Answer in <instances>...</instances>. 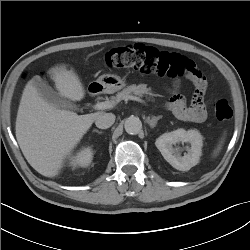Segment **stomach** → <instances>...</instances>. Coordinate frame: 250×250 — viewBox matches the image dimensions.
I'll return each mask as SVG.
<instances>
[{
	"label": "stomach",
	"instance_id": "0dacf381",
	"mask_svg": "<svg viewBox=\"0 0 250 250\" xmlns=\"http://www.w3.org/2000/svg\"><path fill=\"white\" fill-rule=\"evenodd\" d=\"M96 83L107 93H114L126 86V81L114 74H103L96 80Z\"/></svg>",
	"mask_w": 250,
	"mask_h": 250
}]
</instances>
